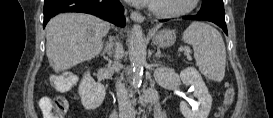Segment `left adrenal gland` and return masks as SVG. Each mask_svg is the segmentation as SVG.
<instances>
[{
  "mask_svg": "<svg viewBox=\"0 0 273 118\" xmlns=\"http://www.w3.org/2000/svg\"><path fill=\"white\" fill-rule=\"evenodd\" d=\"M157 58H161L162 57V54H161V52H160V49L158 48L157 49V53H156V55H155Z\"/></svg>",
  "mask_w": 273,
  "mask_h": 118,
  "instance_id": "left-adrenal-gland-1",
  "label": "left adrenal gland"
}]
</instances>
